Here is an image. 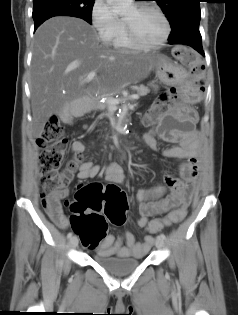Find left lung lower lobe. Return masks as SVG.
<instances>
[{
  "instance_id": "1",
  "label": "left lung lower lobe",
  "mask_w": 238,
  "mask_h": 315,
  "mask_svg": "<svg viewBox=\"0 0 238 315\" xmlns=\"http://www.w3.org/2000/svg\"><path fill=\"white\" fill-rule=\"evenodd\" d=\"M169 44H185L204 55L199 27H191L184 30L176 37L169 39Z\"/></svg>"
}]
</instances>
